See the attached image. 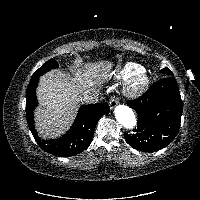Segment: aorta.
<instances>
[{"label": "aorta", "instance_id": "1", "mask_svg": "<svg viewBox=\"0 0 200 200\" xmlns=\"http://www.w3.org/2000/svg\"><path fill=\"white\" fill-rule=\"evenodd\" d=\"M115 118L126 129H133L137 125V119L133 110L126 105H118L114 109Z\"/></svg>", "mask_w": 200, "mask_h": 200}]
</instances>
